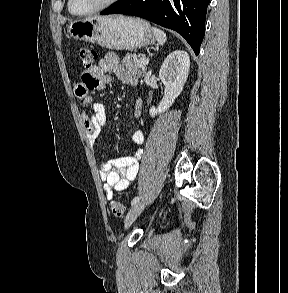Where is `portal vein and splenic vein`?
I'll list each match as a JSON object with an SVG mask.
<instances>
[{
    "instance_id": "18ae733b",
    "label": "portal vein and splenic vein",
    "mask_w": 288,
    "mask_h": 293,
    "mask_svg": "<svg viewBox=\"0 0 288 293\" xmlns=\"http://www.w3.org/2000/svg\"><path fill=\"white\" fill-rule=\"evenodd\" d=\"M139 61L143 65H148L149 64V59L146 58L145 56L141 57Z\"/></svg>"
}]
</instances>
